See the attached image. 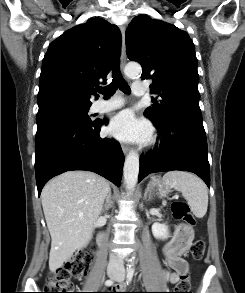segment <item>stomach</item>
Segmentation results:
<instances>
[{
	"mask_svg": "<svg viewBox=\"0 0 245 293\" xmlns=\"http://www.w3.org/2000/svg\"><path fill=\"white\" fill-rule=\"evenodd\" d=\"M148 185L151 189L157 188V190H158L157 194L160 197L166 196L170 192V189H171V187L169 185H167L163 179H161L160 177H157V176H153ZM184 234H187L188 239L191 240V238L193 236V231L191 230V228L185 227L182 230V235H184Z\"/></svg>",
	"mask_w": 245,
	"mask_h": 293,
	"instance_id": "obj_1",
	"label": "stomach"
}]
</instances>
